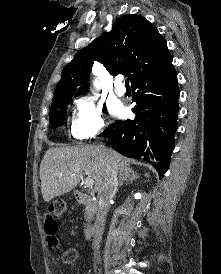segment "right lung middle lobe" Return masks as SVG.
<instances>
[{"label":"right lung middle lobe","instance_id":"dd1d6c3e","mask_svg":"<svg viewBox=\"0 0 221 274\" xmlns=\"http://www.w3.org/2000/svg\"><path fill=\"white\" fill-rule=\"evenodd\" d=\"M73 97L74 96H63L53 99L49 115L53 129L63 124L67 106Z\"/></svg>","mask_w":221,"mask_h":274}]
</instances>
